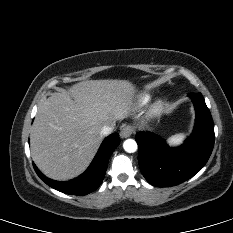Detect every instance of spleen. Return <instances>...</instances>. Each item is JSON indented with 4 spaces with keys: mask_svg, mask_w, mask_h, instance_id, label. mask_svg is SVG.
Segmentation results:
<instances>
[{
    "mask_svg": "<svg viewBox=\"0 0 233 233\" xmlns=\"http://www.w3.org/2000/svg\"><path fill=\"white\" fill-rule=\"evenodd\" d=\"M185 137L186 135L184 133L175 134L169 137L167 142L170 146H176V145L181 144L184 141Z\"/></svg>",
    "mask_w": 233,
    "mask_h": 233,
    "instance_id": "spleen-1",
    "label": "spleen"
}]
</instances>
